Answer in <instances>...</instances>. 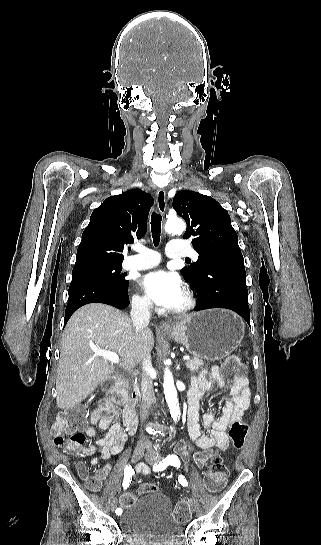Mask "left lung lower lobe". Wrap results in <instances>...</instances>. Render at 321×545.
I'll use <instances>...</instances> for the list:
<instances>
[{
  "label": "left lung lower lobe",
  "instance_id": "obj_1",
  "mask_svg": "<svg viewBox=\"0 0 321 545\" xmlns=\"http://www.w3.org/2000/svg\"><path fill=\"white\" fill-rule=\"evenodd\" d=\"M198 295L195 311L227 308L250 325L246 272L242 253L215 257L203 269L200 279L191 284Z\"/></svg>",
  "mask_w": 321,
  "mask_h": 545
}]
</instances>
